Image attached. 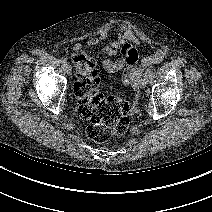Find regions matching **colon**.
<instances>
[{"label":"colon","instance_id":"colon-1","mask_svg":"<svg viewBox=\"0 0 212 212\" xmlns=\"http://www.w3.org/2000/svg\"><path fill=\"white\" fill-rule=\"evenodd\" d=\"M75 91L79 96V115L89 121L86 135L93 141L106 142L122 136L130 124L131 105L115 96H104L97 88L96 62L83 52L74 54Z\"/></svg>","mask_w":212,"mask_h":212}]
</instances>
